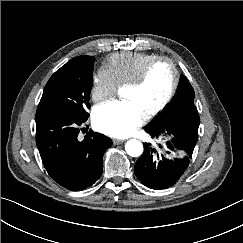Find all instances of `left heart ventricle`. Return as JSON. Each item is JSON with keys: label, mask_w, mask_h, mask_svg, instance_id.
<instances>
[{"label": "left heart ventricle", "mask_w": 243, "mask_h": 243, "mask_svg": "<svg viewBox=\"0 0 243 243\" xmlns=\"http://www.w3.org/2000/svg\"><path fill=\"white\" fill-rule=\"evenodd\" d=\"M173 82V70L167 62L155 65L144 84L136 89L125 88L123 98L134 103L146 115L167 97Z\"/></svg>", "instance_id": "obj_1"}]
</instances>
